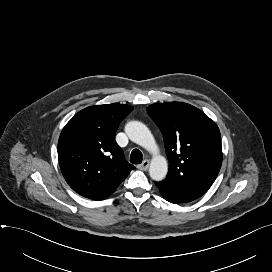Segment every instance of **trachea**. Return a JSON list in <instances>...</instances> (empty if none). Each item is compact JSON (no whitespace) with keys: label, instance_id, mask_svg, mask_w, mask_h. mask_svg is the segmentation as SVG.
<instances>
[{"label":"trachea","instance_id":"1","mask_svg":"<svg viewBox=\"0 0 272 272\" xmlns=\"http://www.w3.org/2000/svg\"><path fill=\"white\" fill-rule=\"evenodd\" d=\"M143 160V154L140 150L134 149L130 155V162L133 164H141Z\"/></svg>","mask_w":272,"mask_h":272}]
</instances>
